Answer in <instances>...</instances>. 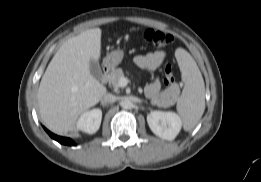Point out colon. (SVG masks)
<instances>
[{
	"mask_svg": "<svg viewBox=\"0 0 261 182\" xmlns=\"http://www.w3.org/2000/svg\"><path fill=\"white\" fill-rule=\"evenodd\" d=\"M144 40L154 47H166L169 46L173 37L166 33L155 29H147L143 34ZM164 83L166 85H171L174 82L173 70L170 64L164 66Z\"/></svg>",
	"mask_w": 261,
	"mask_h": 182,
	"instance_id": "colon-1",
	"label": "colon"
}]
</instances>
